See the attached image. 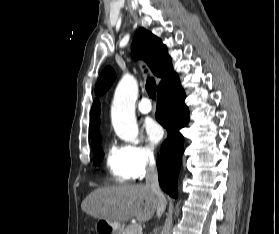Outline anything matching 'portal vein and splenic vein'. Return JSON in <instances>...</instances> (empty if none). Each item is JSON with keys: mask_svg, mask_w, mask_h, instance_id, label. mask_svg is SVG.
<instances>
[{"mask_svg": "<svg viewBox=\"0 0 279 234\" xmlns=\"http://www.w3.org/2000/svg\"><path fill=\"white\" fill-rule=\"evenodd\" d=\"M133 231H138L142 234V227L141 225H135L134 228H133Z\"/></svg>", "mask_w": 279, "mask_h": 234, "instance_id": "portal-vein-and-splenic-vein-1", "label": "portal vein and splenic vein"}]
</instances>
